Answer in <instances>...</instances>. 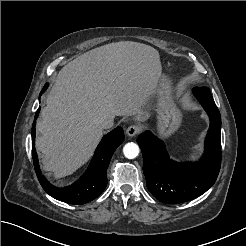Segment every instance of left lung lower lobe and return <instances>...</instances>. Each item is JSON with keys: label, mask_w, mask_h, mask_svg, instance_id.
I'll return each mask as SVG.
<instances>
[{"label": "left lung lower lobe", "mask_w": 246, "mask_h": 246, "mask_svg": "<svg viewBox=\"0 0 246 246\" xmlns=\"http://www.w3.org/2000/svg\"><path fill=\"white\" fill-rule=\"evenodd\" d=\"M193 93L209 115L205 153L197 163L171 160L161 140L150 132L137 138L143 154V172L149 191L167 204L182 203L205 193L216 181L221 166V116L208 87Z\"/></svg>", "instance_id": "obj_1"}]
</instances>
